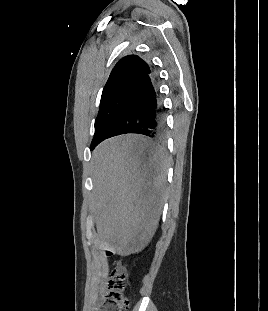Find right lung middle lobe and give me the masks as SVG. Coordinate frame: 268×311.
<instances>
[{
  "mask_svg": "<svg viewBox=\"0 0 268 311\" xmlns=\"http://www.w3.org/2000/svg\"><path fill=\"white\" fill-rule=\"evenodd\" d=\"M135 87L136 84L125 85L101 97L91 146L102 138L104 131L131 98Z\"/></svg>",
  "mask_w": 268,
  "mask_h": 311,
  "instance_id": "1",
  "label": "right lung middle lobe"
}]
</instances>
